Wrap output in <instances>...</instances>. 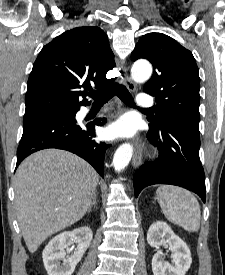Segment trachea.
Segmentation results:
<instances>
[{"label":"trachea","mask_w":225,"mask_h":275,"mask_svg":"<svg viewBox=\"0 0 225 275\" xmlns=\"http://www.w3.org/2000/svg\"><path fill=\"white\" fill-rule=\"evenodd\" d=\"M116 94L126 105L136 107L128 89L118 83L111 84L100 91L90 93L89 96L94 100L95 105H103Z\"/></svg>","instance_id":"3493384b"}]
</instances>
